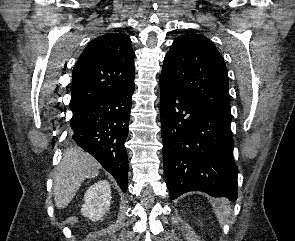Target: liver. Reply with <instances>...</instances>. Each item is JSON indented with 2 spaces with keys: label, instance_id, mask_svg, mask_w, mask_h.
Returning <instances> with one entry per match:
<instances>
[{
  "label": "liver",
  "instance_id": "obj_1",
  "mask_svg": "<svg viewBox=\"0 0 295 241\" xmlns=\"http://www.w3.org/2000/svg\"><path fill=\"white\" fill-rule=\"evenodd\" d=\"M101 165L90 154L78 147L66 150L56 169L53 196L59 209L66 208L86 178L98 175Z\"/></svg>",
  "mask_w": 295,
  "mask_h": 241
}]
</instances>
